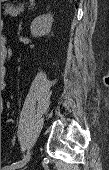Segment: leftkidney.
Masks as SVG:
<instances>
[{"label": "left kidney", "instance_id": "left-kidney-1", "mask_svg": "<svg viewBox=\"0 0 109 170\" xmlns=\"http://www.w3.org/2000/svg\"><path fill=\"white\" fill-rule=\"evenodd\" d=\"M53 16L50 13L36 17L30 26L31 34L34 37H41L47 35L52 27Z\"/></svg>", "mask_w": 109, "mask_h": 170}]
</instances>
